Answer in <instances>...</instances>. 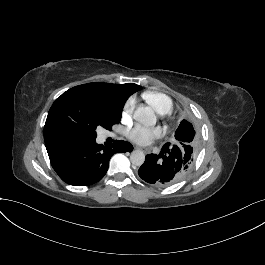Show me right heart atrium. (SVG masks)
<instances>
[{"label": "right heart atrium", "mask_w": 265, "mask_h": 265, "mask_svg": "<svg viewBox=\"0 0 265 265\" xmlns=\"http://www.w3.org/2000/svg\"><path fill=\"white\" fill-rule=\"evenodd\" d=\"M135 106H136V101L134 98H130L125 107H124V115L125 116H129L133 113L134 109H135Z\"/></svg>", "instance_id": "1"}]
</instances>
